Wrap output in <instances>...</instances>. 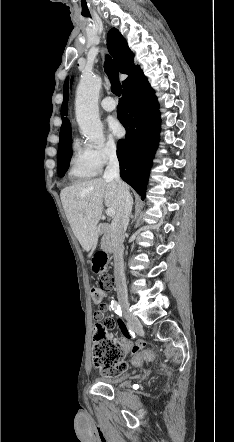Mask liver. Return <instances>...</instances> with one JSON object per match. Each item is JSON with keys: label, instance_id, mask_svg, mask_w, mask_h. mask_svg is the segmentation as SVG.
Listing matches in <instances>:
<instances>
[{"label": "liver", "instance_id": "1", "mask_svg": "<svg viewBox=\"0 0 234 442\" xmlns=\"http://www.w3.org/2000/svg\"><path fill=\"white\" fill-rule=\"evenodd\" d=\"M60 197L75 237L91 257L98 243L103 203L115 212L119 208L121 195L117 183L103 178L82 181L64 188Z\"/></svg>", "mask_w": 234, "mask_h": 442}]
</instances>
